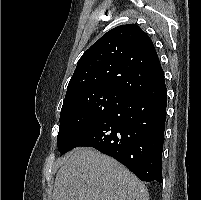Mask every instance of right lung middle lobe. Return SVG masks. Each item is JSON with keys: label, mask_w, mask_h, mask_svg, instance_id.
<instances>
[{"label": "right lung middle lobe", "mask_w": 201, "mask_h": 200, "mask_svg": "<svg viewBox=\"0 0 201 200\" xmlns=\"http://www.w3.org/2000/svg\"><path fill=\"white\" fill-rule=\"evenodd\" d=\"M129 96L109 90L86 91L64 100L57 146L64 149L82 130L121 105Z\"/></svg>", "instance_id": "right-lung-middle-lobe-1"}]
</instances>
